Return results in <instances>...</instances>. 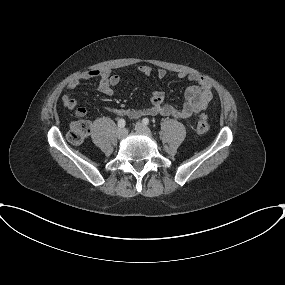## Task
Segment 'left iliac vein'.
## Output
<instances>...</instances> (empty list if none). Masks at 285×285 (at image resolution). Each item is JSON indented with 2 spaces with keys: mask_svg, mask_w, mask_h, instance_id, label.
Listing matches in <instances>:
<instances>
[{
  "mask_svg": "<svg viewBox=\"0 0 285 285\" xmlns=\"http://www.w3.org/2000/svg\"><path fill=\"white\" fill-rule=\"evenodd\" d=\"M136 130H137V132H139L141 134L151 136L150 129L146 125H144L143 123H140V122L136 123Z\"/></svg>",
  "mask_w": 285,
  "mask_h": 285,
  "instance_id": "obj_1",
  "label": "left iliac vein"
}]
</instances>
